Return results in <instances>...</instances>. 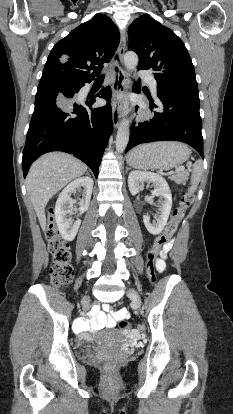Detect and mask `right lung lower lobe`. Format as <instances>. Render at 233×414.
I'll return each instance as SVG.
<instances>
[{"instance_id": "obj_1", "label": "right lung lower lobe", "mask_w": 233, "mask_h": 414, "mask_svg": "<svg viewBox=\"0 0 233 414\" xmlns=\"http://www.w3.org/2000/svg\"><path fill=\"white\" fill-rule=\"evenodd\" d=\"M84 84L68 92L38 90L23 150L24 177L40 155L63 151L85 162L97 178L101 158L112 133L111 90L103 88L83 103L71 100ZM95 97L106 99L107 104L92 108Z\"/></svg>"}]
</instances>
